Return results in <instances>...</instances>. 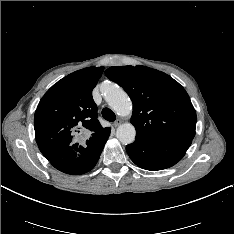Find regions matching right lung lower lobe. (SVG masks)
I'll return each mask as SVG.
<instances>
[{
	"mask_svg": "<svg viewBox=\"0 0 234 234\" xmlns=\"http://www.w3.org/2000/svg\"><path fill=\"white\" fill-rule=\"evenodd\" d=\"M110 135V130L101 135L95 142L78 157L70 161L52 162L51 164L61 172L78 175L90 171L97 163L103 147Z\"/></svg>",
	"mask_w": 234,
	"mask_h": 234,
	"instance_id": "obj_1",
	"label": "right lung lower lobe"
}]
</instances>
